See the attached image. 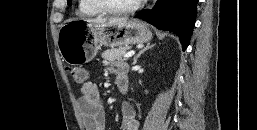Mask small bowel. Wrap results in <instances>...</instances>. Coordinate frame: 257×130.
<instances>
[{"mask_svg":"<svg viewBox=\"0 0 257 130\" xmlns=\"http://www.w3.org/2000/svg\"><path fill=\"white\" fill-rule=\"evenodd\" d=\"M109 70L115 74L116 82H127V66L122 63H109ZM79 107L85 130H105V111L96 84L86 82L82 86ZM121 130H139L140 124L134 108L129 103L121 106Z\"/></svg>","mask_w":257,"mask_h":130,"instance_id":"1","label":"small bowel"}]
</instances>
